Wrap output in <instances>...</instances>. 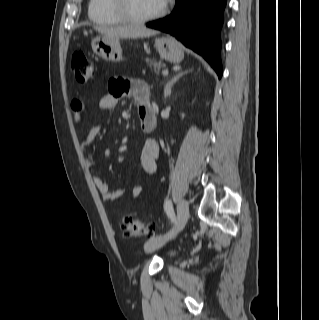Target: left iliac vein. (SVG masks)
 I'll use <instances>...</instances> for the list:
<instances>
[{
	"label": "left iliac vein",
	"instance_id": "obj_1",
	"mask_svg": "<svg viewBox=\"0 0 319 320\" xmlns=\"http://www.w3.org/2000/svg\"><path fill=\"white\" fill-rule=\"evenodd\" d=\"M189 218L188 203L185 199H181L177 207V221L172 231L165 236H158L150 239L145 244L147 252H153L164 246L169 237H175L186 225Z\"/></svg>",
	"mask_w": 319,
	"mask_h": 320
}]
</instances>
